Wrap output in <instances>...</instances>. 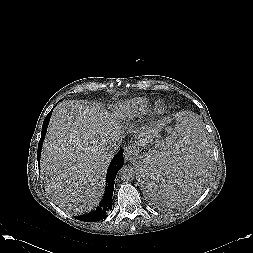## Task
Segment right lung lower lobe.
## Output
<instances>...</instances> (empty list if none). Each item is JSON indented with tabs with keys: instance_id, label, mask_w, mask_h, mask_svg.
<instances>
[{
	"instance_id": "obj_1",
	"label": "right lung lower lobe",
	"mask_w": 253,
	"mask_h": 253,
	"mask_svg": "<svg viewBox=\"0 0 253 253\" xmlns=\"http://www.w3.org/2000/svg\"><path fill=\"white\" fill-rule=\"evenodd\" d=\"M52 111L53 109L48 113V115L46 116L43 122L42 135L38 144V151H37L38 165H40L41 149H42L44 137L47 131V127H48V123H49ZM123 163H124L123 150H120L114 156L107 170L106 189H105V193H104L101 203L95 210L89 213H86L85 215L75 217L76 219L86 221V222H96L107 217L108 211L112 209V196H113L115 178H116L118 170L123 166Z\"/></svg>"
}]
</instances>
